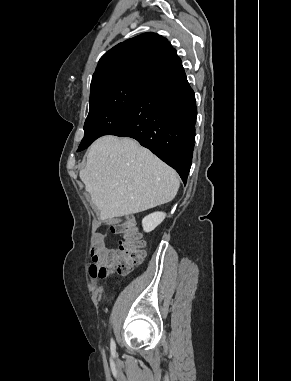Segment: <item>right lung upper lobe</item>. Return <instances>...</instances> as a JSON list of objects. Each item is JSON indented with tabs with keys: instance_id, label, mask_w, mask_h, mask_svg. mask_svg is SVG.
Returning <instances> with one entry per match:
<instances>
[{
	"instance_id": "obj_1",
	"label": "right lung upper lobe",
	"mask_w": 291,
	"mask_h": 381,
	"mask_svg": "<svg viewBox=\"0 0 291 381\" xmlns=\"http://www.w3.org/2000/svg\"><path fill=\"white\" fill-rule=\"evenodd\" d=\"M178 59L170 42L153 32L119 43L99 60L91 94L132 78H146Z\"/></svg>"
}]
</instances>
